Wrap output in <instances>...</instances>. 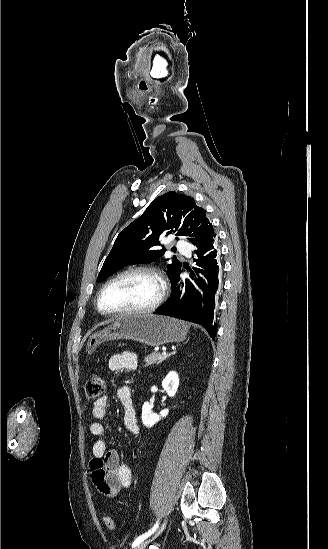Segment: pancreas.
I'll list each match as a JSON object with an SVG mask.
<instances>
[{
	"mask_svg": "<svg viewBox=\"0 0 328 549\" xmlns=\"http://www.w3.org/2000/svg\"><path fill=\"white\" fill-rule=\"evenodd\" d=\"M165 359H167V357H163V355H161V353H150V355H148V357H145L144 361L146 363V365H144V367H149V365H154V363H162V361H165Z\"/></svg>",
	"mask_w": 328,
	"mask_h": 549,
	"instance_id": "obj_1",
	"label": "pancreas"
}]
</instances>
